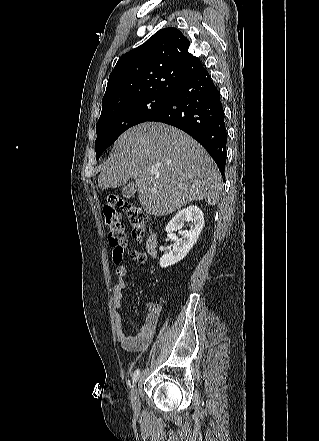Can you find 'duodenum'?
Masks as SVG:
<instances>
[{
  "instance_id": "duodenum-1",
  "label": "duodenum",
  "mask_w": 319,
  "mask_h": 441,
  "mask_svg": "<svg viewBox=\"0 0 319 441\" xmlns=\"http://www.w3.org/2000/svg\"><path fill=\"white\" fill-rule=\"evenodd\" d=\"M147 250L151 255L156 253L157 241L155 235H151L146 244Z\"/></svg>"
}]
</instances>
